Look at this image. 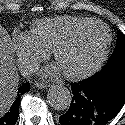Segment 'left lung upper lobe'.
Wrapping results in <instances>:
<instances>
[{"label":"left lung upper lobe","mask_w":125,"mask_h":125,"mask_svg":"<svg viewBox=\"0 0 125 125\" xmlns=\"http://www.w3.org/2000/svg\"><path fill=\"white\" fill-rule=\"evenodd\" d=\"M121 66H125V35L123 33H118L117 44L114 52L108 59L106 65L102 68L100 72L95 74V76L111 69H115Z\"/></svg>","instance_id":"obj_1"}]
</instances>
